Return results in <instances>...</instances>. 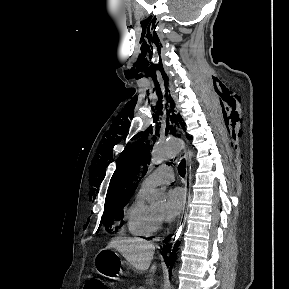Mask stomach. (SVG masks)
I'll return each instance as SVG.
<instances>
[{
  "mask_svg": "<svg viewBox=\"0 0 289 289\" xmlns=\"http://www.w3.org/2000/svg\"><path fill=\"white\" fill-rule=\"evenodd\" d=\"M96 272L104 277L116 279L121 273L119 255L113 249H102L95 257Z\"/></svg>",
  "mask_w": 289,
  "mask_h": 289,
  "instance_id": "obj_1",
  "label": "stomach"
}]
</instances>
